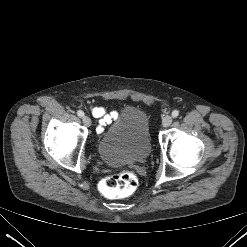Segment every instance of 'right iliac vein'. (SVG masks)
I'll return each instance as SVG.
<instances>
[{
  "instance_id": "right-iliac-vein-1",
  "label": "right iliac vein",
  "mask_w": 247,
  "mask_h": 247,
  "mask_svg": "<svg viewBox=\"0 0 247 247\" xmlns=\"http://www.w3.org/2000/svg\"><path fill=\"white\" fill-rule=\"evenodd\" d=\"M82 121L85 126L91 125V119L88 116H83Z\"/></svg>"
}]
</instances>
